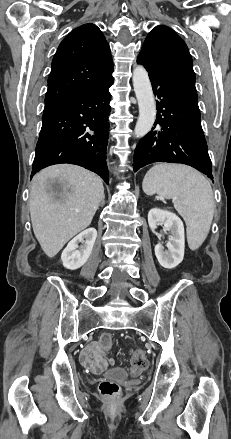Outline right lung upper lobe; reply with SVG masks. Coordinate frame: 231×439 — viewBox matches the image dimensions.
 Listing matches in <instances>:
<instances>
[{"label":"right lung upper lobe","mask_w":231,"mask_h":439,"mask_svg":"<svg viewBox=\"0 0 231 439\" xmlns=\"http://www.w3.org/2000/svg\"><path fill=\"white\" fill-rule=\"evenodd\" d=\"M112 72L110 48L101 30L94 24L74 29L53 58L44 111L106 84Z\"/></svg>","instance_id":"right-lung-upper-lobe-1"}]
</instances>
